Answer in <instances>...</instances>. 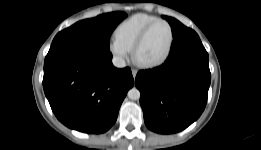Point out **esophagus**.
Listing matches in <instances>:
<instances>
[{"mask_svg": "<svg viewBox=\"0 0 261 150\" xmlns=\"http://www.w3.org/2000/svg\"><path fill=\"white\" fill-rule=\"evenodd\" d=\"M131 72H132V76H133V78L135 79V77H136L138 71H137L136 69H132Z\"/></svg>", "mask_w": 261, "mask_h": 150, "instance_id": "obj_1", "label": "esophagus"}]
</instances>
